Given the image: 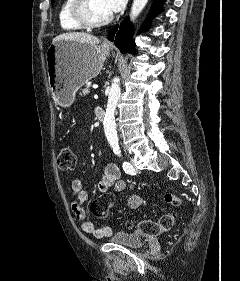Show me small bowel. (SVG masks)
I'll return each mask as SVG.
<instances>
[{"label": "small bowel", "instance_id": "1", "mask_svg": "<svg viewBox=\"0 0 240 281\" xmlns=\"http://www.w3.org/2000/svg\"><path fill=\"white\" fill-rule=\"evenodd\" d=\"M126 187L127 184L121 179L118 166L114 163L107 164L98 182L99 191L107 193L113 190L116 193H122L125 191ZM130 189H134L132 183L130 184ZM70 190L73 197L71 210L74 216L81 222L82 230L88 234H92L96 238L109 236L111 234V229L109 227H97L93 222L86 219L84 203L88 195L84 190L82 181L78 178L72 179L70 182ZM127 204L131 209H136L142 204V198L138 194L132 193L128 197Z\"/></svg>", "mask_w": 240, "mask_h": 281}]
</instances>
